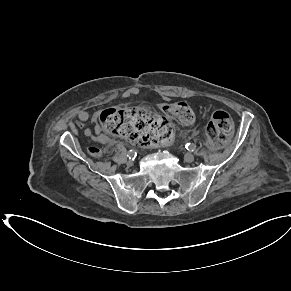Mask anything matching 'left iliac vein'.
Returning a JSON list of instances; mask_svg holds the SVG:
<instances>
[{
	"label": "left iliac vein",
	"mask_w": 291,
	"mask_h": 291,
	"mask_svg": "<svg viewBox=\"0 0 291 291\" xmlns=\"http://www.w3.org/2000/svg\"><path fill=\"white\" fill-rule=\"evenodd\" d=\"M194 159H195V156L193 154H191V153L184 154V160H185V162L191 163V162L194 161Z\"/></svg>",
	"instance_id": "left-iliac-vein-1"
}]
</instances>
